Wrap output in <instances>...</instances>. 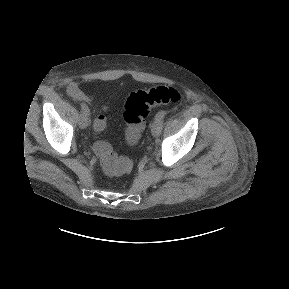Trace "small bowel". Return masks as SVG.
Masks as SVG:
<instances>
[{
	"label": "small bowel",
	"mask_w": 289,
	"mask_h": 289,
	"mask_svg": "<svg viewBox=\"0 0 289 289\" xmlns=\"http://www.w3.org/2000/svg\"><path fill=\"white\" fill-rule=\"evenodd\" d=\"M66 92L69 97L76 101L89 102V97L79 88L75 82H70L67 85ZM104 110H106V107H104Z\"/></svg>",
	"instance_id": "small-bowel-1"
}]
</instances>
